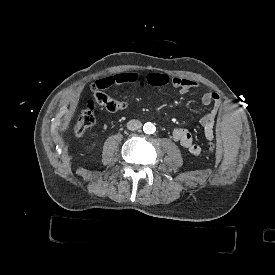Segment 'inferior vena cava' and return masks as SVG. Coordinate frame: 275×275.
Instances as JSON below:
<instances>
[{"mask_svg":"<svg viewBox=\"0 0 275 275\" xmlns=\"http://www.w3.org/2000/svg\"><path fill=\"white\" fill-rule=\"evenodd\" d=\"M126 127L128 130L136 131L141 129L142 123L139 120H130L127 122Z\"/></svg>","mask_w":275,"mask_h":275,"instance_id":"inferior-vena-cava-1","label":"inferior vena cava"}]
</instances>
